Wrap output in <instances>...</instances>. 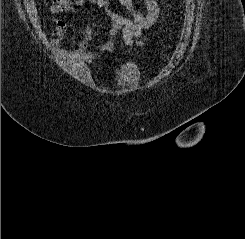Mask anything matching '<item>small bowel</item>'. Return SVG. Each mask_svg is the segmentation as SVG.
<instances>
[{"instance_id": "c3829d8e", "label": "small bowel", "mask_w": 245, "mask_h": 239, "mask_svg": "<svg viewBox=\"0 0 245 239\" xmlns=\"http://www.w3.org/2000/svg\"><path fill=\"white\" fill-rule=\"evenodd\" d=\"M111 1L112 0H58V2L52 3L50 11L52 14L75 12L77 7L88 2L101 9L110 24L109 42L101 48L100 52L110 51V40L119 32L123 34L125 45H143L148 40L144 32L154 26L159 19V7L157 2L155 0H145L146 13H142L133 5L132 0H115L129 12V16H123L111 9ZM52 22L55 25L52 45L56 47L65 34L67 24L64 20L56 17L52 18ZM91 37L92 28L87 26L84 39L80 42L76 50V55L81 57L86 63H91L96 57L95 53L88 51Z\"/></svg>"}]
</instances>
